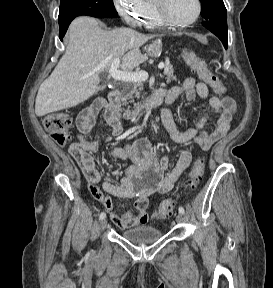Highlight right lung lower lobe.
<instances>
[{"label": "right lung lower lobe", "instance_id": "obj_1", "mask_svg": "<svg viewBox=\"0 0 273 288\" xmlns=\"http://www.w3.org/2000/svg\"><path fill=\"white\" fill-rule=\"evenodd\" d=\"M73 19H74V18H73ZM73 19H69V20H67V21L64 22V23L59 24V27H60L59 38H60L61 41H62V39H63V37H64L67 29H68L69 24L71 23V21H72Z\"/></svg>", "mask_w": 273, "mask_h": 288}]
</instances>
